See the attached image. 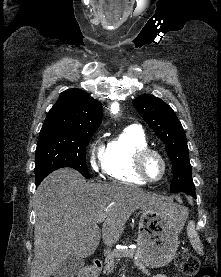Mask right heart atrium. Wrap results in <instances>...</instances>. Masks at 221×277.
Segmentation results:
<instances>
[{
    "mask_svg": "<svg viewBox=\"0 0 221 277\" xmlns=\"http://www.w3.org/2000/svg\"><path fill=\"white\" fill-rule=\"evenodd\" d=\"M103 147L101 145L93 146L90 154V165L94 171H98L102 165Z\"/></svg>",
    "mask_w": 221,
    "mask_h": 277,
    "instance_id": "1",
    "label": "right heart atrium"
}]
</instances>
